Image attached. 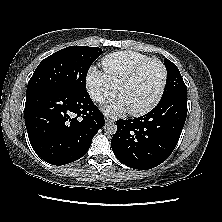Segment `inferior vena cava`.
I'll return each mask as SVG.
<instances>
[{
    "label": "inferior vena cava",
    "mask_w": 222,
    "mask_h": 222,
    "mask_svg": "<svg viewBox=\"0 0 222 222\" xmlns=\"http://www.w3.org/2000/svg\"><path fill=\"white\" fill-rule=\"evenodd\" d=\"M101 99H102V96H100V95H97V96L95 95V96H94V100H96V101H97V100L100 101Z\"/></svg>",
    "instance_id": "1"
}]
</instances>
